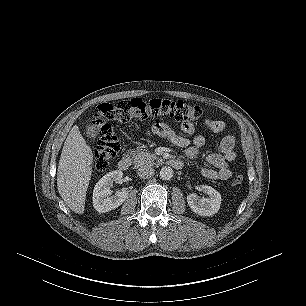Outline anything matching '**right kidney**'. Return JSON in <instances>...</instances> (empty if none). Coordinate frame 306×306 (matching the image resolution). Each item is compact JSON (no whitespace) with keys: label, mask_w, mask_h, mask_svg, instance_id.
Masks as SVG:
<instances>
[{"label":"right kidney","mask_w":306,"mask_h":306,"mask_svg":"<svg viewBox=\"0 0 306 306\" xmlns=\"http://www.w3.org/2000/svg\"><path fill=\"white\" fill-rule=\"evenodd\" d=\"M123 176L121 171H112L104 175L95 185L93 190V206L99 213L109 212L118 208L128 198L129 191L123 188L112 195L110 187L113 182L118 183Z\"/></svg>","instance_id":"ca27d5eb"}]
</instances>
